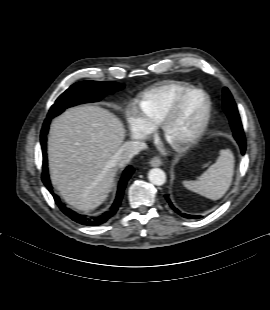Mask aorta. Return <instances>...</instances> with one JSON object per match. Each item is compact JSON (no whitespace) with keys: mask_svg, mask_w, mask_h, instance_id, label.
I'll use <instances>...</instances> for the list:
<instances>
[{"mask_svg":"<svg viewBox=\"0 0 270 310\" xmlns=\"http://www.w3.org/2000/svg\"><path fill=\"white\" fill-rule=\"evenodd\" d=\"M149 181L156 186H161L166 182V174L160 168H153L148 173Z\"/></svg>","mask_w":270,"mask_h":310,"instance_id":"1","label":"aorta"}]
</instances>
